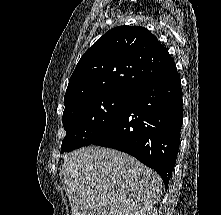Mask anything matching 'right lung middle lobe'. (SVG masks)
I'll use <instances>...</instances> for the list:
<instances>
[{
	"instance_id": "right-lung-middle-lobe-1",
	"label": "right lung middle lobe",
	"mask_w": 221,
	"mask_h": 215,
	"mask_svg": "<svg viewBox=\"0 0 221 215\" xmlns=\"http://www.w3.org/2000/svg\"><path fill=\"white\" fill-rule=\"evenodd\" d=\"M130 95L106 94L82 100L65 107L63 126L66 136L61 152L90 145L118 119Z\"/></svg>"
}]
</instances>
